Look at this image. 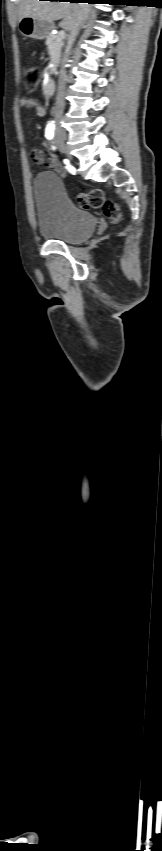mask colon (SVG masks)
<instances>
[{
	"label": "colon",
	"mask_w": 162,
	"mask_h": 851,
	"mask_svg": "<svg viewBox=\"0 0 162 851\" xmlns=\"http://www.w3.org/2000/svg\"><path fill=\"white\" fill-rule=\"evenodd\" d=\"M39 71L35 68H27L24 72V80L26 88L29 91H34L39 82ZM77 204L82 209H103L104 214L111 220L117 221L120 218V210L118 206L111 200H107L104 191L101 189H93L85 195L77 197Z\"/></svg>",
	"instance_id": "obj_1"
}]
</instances>
